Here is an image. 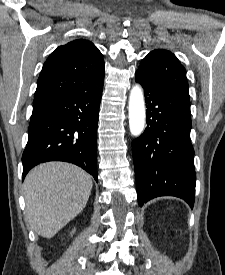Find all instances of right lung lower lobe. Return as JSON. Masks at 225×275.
I'll return each mask as SVG.
<instances>
[{
  "mask_svg": "<svg viewBox=\"0 0 225 275\" xmlns=\"http://www.w3.org/2000/svg\"><path fill=\"white\" fill-rule=\"evenodd\" d=\"M104 75L90 92H70L33 103L23 177L39 163L76 164L97 181V122Z\"/></svg>",
  "mask_w": 225,
  "mask_h": 275,
  "instance_id": "obj_1",
  "label": "right lung lower lobe"
}]
</instances>
